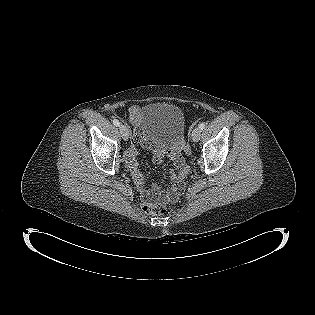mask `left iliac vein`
I'll return each mask as SVG.
<instances>
[{
  "label": "left iliac vein",
  "mask_w": 315,
  "mask_h": 315,
  "mask_svg": "<svg viewBox=\"0 0 315 315\" xmlns=\"http://www.w3.org/2000/svg\"><path fill=\"white\" fill-rule=\"evenodd\" d=\"M192 140L194 142H198L199 139H200V136H201V129L200 128H195L193 131H192Z\"/></svg>",
  "instance_id": "left-iliac-vein-1"
}]
</instances>
